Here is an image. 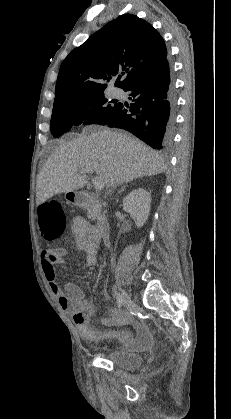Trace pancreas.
Here are the masks:
<instances>
[{
  "mask_svg": "<svg viewBox=\"0 0 231 419\" xmlns=\"http://www.w3.org/2000/svg\"><path fill=\"white\" fill-rule=\"evenodd\" d=\"M101 210L100 207L96 204H91L88 206V217L92 221L96 220L100 216Z\"/></svg>",
  "mask_w": 231,
  "mask_h": 419,
  "instance_id": "1",
  "label": "pancreas"
}]
</instances>
